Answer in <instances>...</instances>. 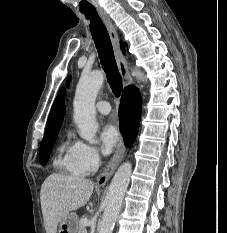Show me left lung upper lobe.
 Returning <instances> with one entry per match:
<instances>
[{"instance_id":"obj_1","label":"left lung upper lobe","mask_w":227,"mask_h":233,"mask_svg":"<svg viewBox=\"0 0 227 233\" xmlns=\"http://www.w3.org/2000/svg\"><path fill=\"white\" fill-rule=\"evenodd\" d=\"M70 79L67 81V85L69 84Z\"/></svg>"}]
</instances>
